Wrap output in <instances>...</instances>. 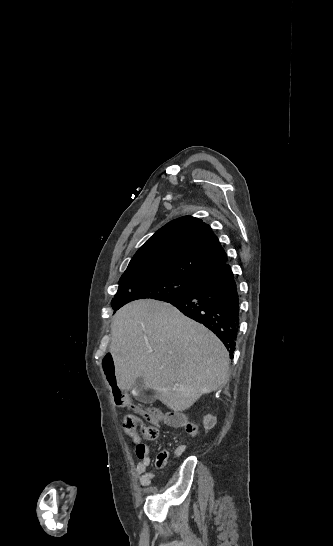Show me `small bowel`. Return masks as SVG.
<instances>
[{
	"instance_id": "obj_1",
	"label": "small bowel",
	"mask_w": 333,
	"mask_h": 546,
	"mask_svg": "<svg viewBox=\"0 0 333 546\" xmlns=\"http://www.w3.org/2000/svg\"><path fill=\"white\" fill-rule=\"evenodd\" d=\"M152 423L156 425H160V422L163 420L169 425L177 426L179 424V421L176 416L173 415H163L160 411H154L153 414L149 415L147 417ZM187 430L190 434L193 436H197L199 434L198 429L192 425H187ZM132 438L134 444H135V453L136 456L139 459V462L136 466V473L139 478V482L142 486H149L151 483V480L154 476V470L152 469V459H151V449L150 446L143 442L141 438L138 436L137 432L133 435H130ZM186 450L185 445H179L175 451V456H181ZM169 452L168 450H162L156 457L154 465L157 468L164 467L168 461Z\"/></svg>"
}]
</instances>
